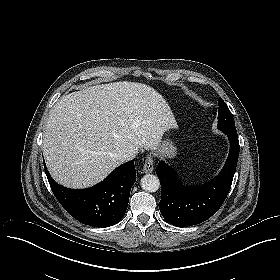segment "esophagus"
<instances>
[{
    "label": "esophagus",
    "instance_id": "obj_1",
    "mask_svg": "<svg viewBox=\"0 0 280 280\" xmlns=\"http://www.w3.org/2000/svg\"><path fill=\"white\" fill-rule=\"evenodd\" d=\"M154 171V161L151 155H148L145 159L143 172L144 173H152Z\"/></svg>",
    "mask_w": 280,
    "mask_h": 280
}]
</instances>
